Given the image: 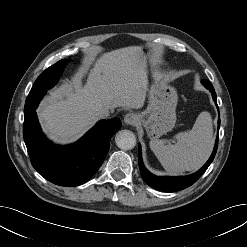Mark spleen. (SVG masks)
Returning <instances> with one entry per match:
<instances>
[{"instance_id":"3e777b00","label":"spleen","mask_w":247,"mask_h":247,"mask_svg":"<svg viewBox=\"0 0 247 247\" xmlns=\"http://www.w3.org/2000/svg\"><path fill=\"white\" fill-rule=\"evenodd\" d=\"M176 144L152 139L150 148L165 170L172 174L193 171L200 168L209 158L213 146V127L211 115L201 112L189 131L175 136Z\"/></svg>"}]
</instances>
